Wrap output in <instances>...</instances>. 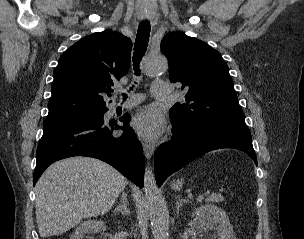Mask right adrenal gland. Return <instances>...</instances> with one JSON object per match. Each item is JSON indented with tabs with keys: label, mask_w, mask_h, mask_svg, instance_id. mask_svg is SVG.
<instances>
[{
	"label": "right adrenal gland",
	"mask_w": 304,
	"mask_h": 239,
	"mask_svg": "<svg viewBox=\"0 0 304 239\" xmlns=\"http://www.w3.org/2000/svg\"><path fill=\"white\" fill-rule=\"evenodd\" d=\"M128 205H129V203L127 201V194L122 192L120 204L115 209V212H120V213H122V215H125V216L129 215L130 211H129Z\"/></svg>",
	"instance_id": "obj_1"
}]
</instances>
